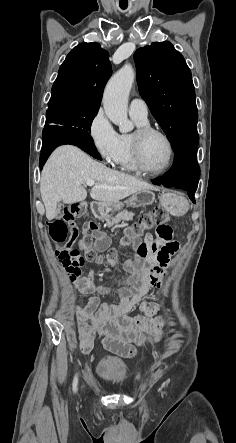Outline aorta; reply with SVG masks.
Returning <instances> with one entry per match:
<instances>
[{
  "instance_id": "762f6f07",
  "label": "aorta",
  "mask_w": 236,
  "mask_h": 443,
  "mask_svg": "<svg viewBox=\"0 0 236 443\" xmlns=\"http://www.w3.org/2000/svg\"><path fill=\"white\" fill-rule=\"evenodd\" d=\"M134 79V69L127 64L112 76L103 94L105 113L122 133L133 130V123L128 119L127 109L128 97Z\"/></svg>"
}]
</instances>
